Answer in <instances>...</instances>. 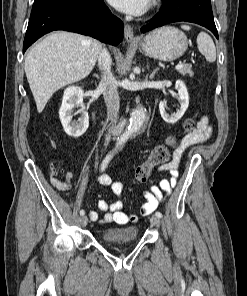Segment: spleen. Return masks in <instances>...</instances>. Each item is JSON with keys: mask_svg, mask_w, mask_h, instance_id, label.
<instances>
[{"mask_svg": "<svg viewBox=\"0 0 247 296\" xmlns=\"http://www.w3.org/2000/svg\"><path fill=\"white\" fill-rule=\"evenodd\" d=\"M182 29L190 30L187 25H182ZM197 46L201 54L204 55L208 62H214L216 60V48L212 38L205 32H200L197 36Z\"/></svg>", "mask_w": 247, "mask_h": 296, "instance_id": "spleen-1", "label": "spleen"}]
</instances>
